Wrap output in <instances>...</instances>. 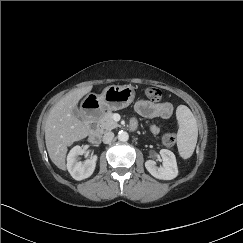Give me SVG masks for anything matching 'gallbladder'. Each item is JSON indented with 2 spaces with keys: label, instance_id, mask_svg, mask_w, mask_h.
Listing matches in <instances>:
<instances>
[{
  "label": "gallbladder",
  "instance_id": "obj_1",
  "mask_svg": "<svg viewBox=\"0 0 243 243\" xmlns=\"http://www.w3.org/2000/svg\"><path fill=\"white\" fill-rule=\"evenodd\" d=\"M73 115H75L76 117H80V111H79V109L74 108L73 109Z\"/></svg>",
  "mask_w": 243,
  "mask_h": 243
}]
</instances>
